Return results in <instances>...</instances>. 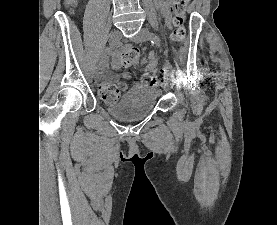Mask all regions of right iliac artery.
<instances>
[{"label":"right iliac artery","instance_id":"82829eb1","mask_svg":"<svg viewBox=\"0 0 277 225\" xmlns=\"http://www.w3.org/2000/svg\"><path fill=\"white\" fill-rule=\"evenodd\" d=\"M112 48H113V46L109 45L102 49L100 57H99L98 65L96 68V71H98V73H99L101 67L103 66L104 62L106 61L107 55L110 53Z\"/></svg>","mask_w":277,"mask_h":225}]
</instances>
